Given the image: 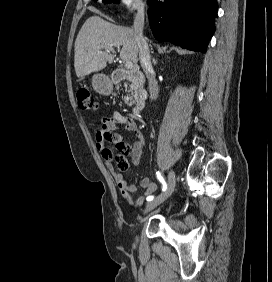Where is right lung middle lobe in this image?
Returning <instances> with one entry per match:
<instances>
[{
    "label": "right lung middle lobe",
    "mask_w": 272,
    "mask_h": 282,
    "mask_svg": "<svg viewBox=\"0 0 272 282\" xmlns=\"http://www.w3.org/2000/svg\"><path fill=\"white\" fill-rule=\"evenodd\" d=\"M105 3H111V2H119V0H103Z\"/></svg>",
    "instance_id": "obj_1"
}]
</instances>
